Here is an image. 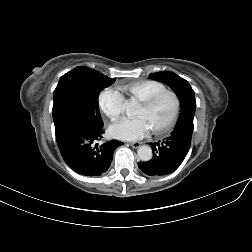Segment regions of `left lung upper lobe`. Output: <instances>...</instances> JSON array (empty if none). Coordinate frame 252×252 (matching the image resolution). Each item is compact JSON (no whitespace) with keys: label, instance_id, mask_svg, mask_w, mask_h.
<instances>
[{"label":"left lung upper lobe","instance_id":"1","mask_svg":"<svg viewBox=\"0 0 252 252\" xmlns=\"http://www.w3.org/2000/svg\"><path fill=\"white\" fill-rule=\"evenodd\" d=\"M151 78L162 81L169 85L178 95L181 103L180 117L177 122L183 118L193 120L196 101L194 91L189 83L171 71L151 73Z\"/></svg>","mask_w":252,"mask_h":252}]
</instances>
